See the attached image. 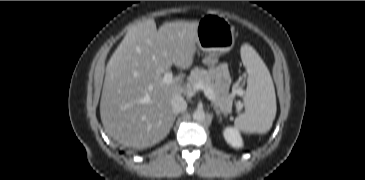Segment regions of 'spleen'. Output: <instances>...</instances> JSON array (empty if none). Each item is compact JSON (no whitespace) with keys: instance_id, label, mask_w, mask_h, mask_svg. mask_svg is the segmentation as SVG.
I'll return each instance as SVG.
<instances>
[{"instance_id":"spleen-1","label":"spleen","mask_w":365,"mask_h":180,"mask_svg":"<svg viewBox=\"0 0 365 180\" xmlns=\"http://www.w3.org/2000/svg\"><path fill=\"white\" fill-rule=\"evenodd\" d=\"M241 58L248 72L243 99L245 112L236 117L234 128L243 133H266L272 127L277 110L273 81L265 63L252 47H243Z\"/></svg>"}]
</instances>
